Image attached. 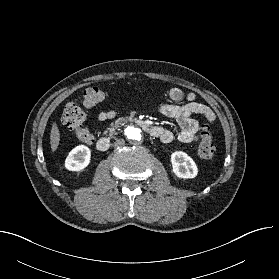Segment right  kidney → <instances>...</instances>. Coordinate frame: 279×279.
<instances>
[{"label":"right kidney","instance_id":"ca27d5eb","mask_svg":"<svg viewBox=\"0 0 279 279\" xmlns=\"http://www.w3.org/2000/svg\"><path fill=\"white\" fill-rule=\"evenodd\" d=\"M91 151L85 145H79L71 150L65 160V168L70 171H82L90 163Z\"/></svg>","mask_w":279,"mask_h":279}]
</instances>
